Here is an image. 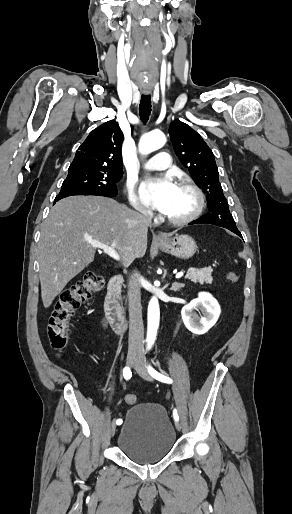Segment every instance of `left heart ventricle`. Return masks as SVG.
<instances>
[{
	"label": "left heart ventricle",
	"mask_w": 292,
	"mask_h": 514,
	"mask_svg": "<svg viewBox=\"0 0 292 514\" xmlns=\"http://www.w3.org/2000/svg\"><path fill=\"white\" fill-rule=\"evenodd\" d=\"M194 204L193 194L186 189L178 187L176 195L166 213L174 217H182L191 212Z\"/></svg>",
	"instance_id": "left-heart-ventricle-1"
}]
</instances>
